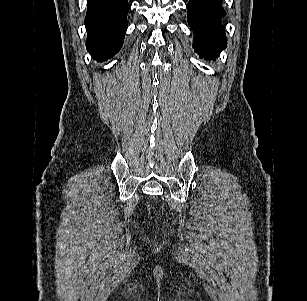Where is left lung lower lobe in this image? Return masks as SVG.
<instances>
[{
    "label": "left lung lower lobe",
    "mask_w": 307,
    "mask_h": 301,
    "mask_svg": "<svg viewBox=\"0 0 307 301\" xmlns=\"http://www.w3.org/2000/svg\"><path fill=\"white\" fill-rule=\"evenodd\" d=\"M222 0H189L187 20L194 31V49L201 58H216L226 48L221 19L226 15Z\"/></svg>",
    "instance_id": "1"
}]
</instances>
